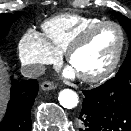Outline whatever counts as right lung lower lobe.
<instances>
[{
	"label": "right lung lower lobe",
	"mask_w": 131,
	"mask_h": 131,
	"mask_svg": "<svg viewBox=\"0 0 131 131\" xmlns=\"http://www.w3.org/2000/svg\"><path fill=\"white\" fill-rule=\"evenodd\" d=\"M37 80H26L11 87V98L0 131H31L30 111L38 93Z\"/></svg>",
	"instance_id": "right-lung-lower-lobe-1"
}]
</instances>
